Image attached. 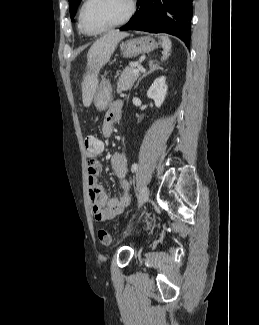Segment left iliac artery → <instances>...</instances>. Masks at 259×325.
<instances>
[{"mask_svg": "<svg viewBox=\"0 0 259 325\" xmlns=\"http://www.w3.org/2000/svg\"><path fill=\"white\" fill-rule=\"evenodd\" d=\"M138 170V165L136 163H134L132 166H131V171L132 172H136Z\"/></svg>", "mask_w": 259, "mask_h": 325, "instance_id": "44dca946", "label": "left iliac artery"}]
</instances>
